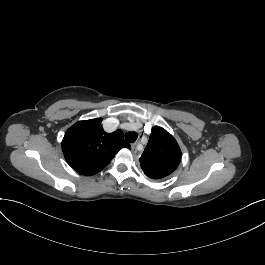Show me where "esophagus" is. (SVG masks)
<instances>
[{
  "label": "esophagus",
  "instance_id": "1",
  "mask_svg": "<svg viewBox=\"0 0 265 265\" xmlns=\"http://www.w3.org/2000/svg\"><path fill=\"white\" fill-rule=\"evenodd\" d=\"M139 142L136 141L135 143H133L131 145V149H132V153H137V146H138Z\"/></svg>",
  "mask_w": 265,
  "mask_h": 265
}]
</instances>
